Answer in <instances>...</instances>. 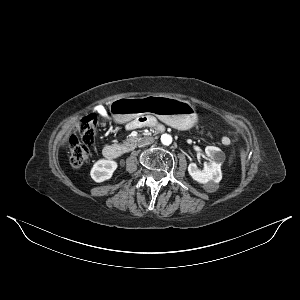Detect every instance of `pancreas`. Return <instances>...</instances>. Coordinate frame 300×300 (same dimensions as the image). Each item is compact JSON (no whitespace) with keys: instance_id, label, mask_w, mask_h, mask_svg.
<instances>
[{"instance_id":"obj_1","label":"pancreas","mask_w":300,"mask_h":300,"mask_svg":"<svg viewBox=\"0 0 300 300\" xmlns=\"http://www.w3.org/2000/svg\"><path fill=\"white\" fill-rule=\"evenodd\" d=\"M132 141H135V139L130 138V139L123 142L122 146H123L125 151L129 150L130 142H132Z\"/></svg>"}]
</instances>
